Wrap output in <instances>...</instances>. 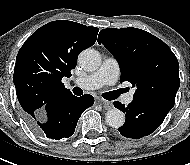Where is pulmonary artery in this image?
<instances>
[{"label":"pulmonary artery","mask_w":190,"mask_h":165,"mask_svg":"<svg viewBox=\"0 0 190 165\" xmlns=\"http://www.w3.org/2000/svg\"><path fill=\"white\" fill-rule=\"evenodd\" d=\"M120 75V66L116 59L106 58L99 69L86 77L76 78L75 83L84 89H96L103 85L114 84ZM133 93L124 97V103L129 104L133 101Z\"/></svg>","instance_id":"1"}]
</instances>
